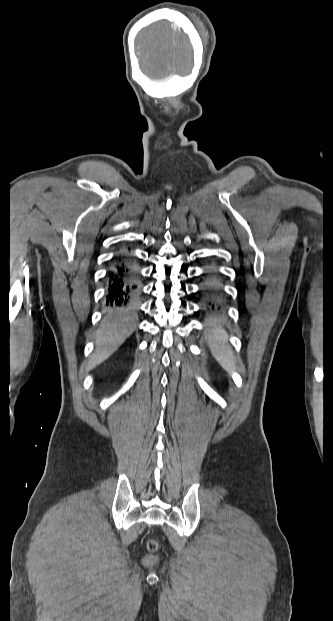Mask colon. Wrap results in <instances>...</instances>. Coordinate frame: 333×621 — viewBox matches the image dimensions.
<instances>
[{
    "mask_svg": "<svg viewBox=\"0 0 333 621\" xmlns=\"http://www.w3.org/2000/svg\"><path fill=\"white\" fill-rule=\"evenodd\" d=\"M158 548H159V545H158V543H157L155 540H150V541L148 542V549H149L152 553H153V552H156V551L158 550ZM154 560H155V557H154V556H148V557L146 558V562H147V563L152 562V561H154Z\"/></svg>",
    "mask_w": 333,
    "mask_h": 621,
    "instance_id": "5ec220e1",
    "label": "colon"
}]
</instances>
